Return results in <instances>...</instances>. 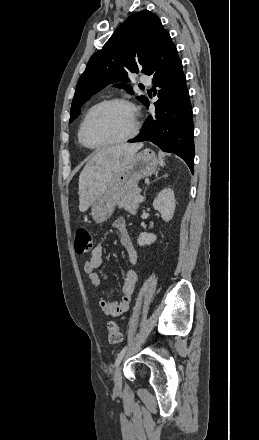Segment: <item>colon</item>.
I'll return each instance as SVG.
<instances>
[{
    "label": "colon",
    "instance_id": "5ec220e1",
    "mask_svg": "<svg viewBox=\"0 0 259 440\" xmlns=\"http://www.w3.org/2000/svg\"><path fill=\"white\" fill-rule=\"evenodd\" d=\"M93 240L87 228H78L75 235V251L78 254H85L91 251ZM108 340L111 344H119L123 340V332L115 322H109L107 326Z\"/></svg>",
    "mask_w": 259,
    "mask_h": 440
}]
</instances>
